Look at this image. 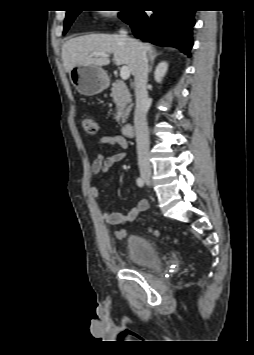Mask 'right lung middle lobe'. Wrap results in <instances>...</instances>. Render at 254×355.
<instances>
[{
	"instance_id": "1",
	"label": "right lung middle lobe",
	"mask_w": 254,
	"mask_h": 355,
	"mask_svg": "<svg viewBox=\"0 0 254 355\" xmlns=\"http://www.w3.org/2000/svg\"><path fill=\"white\" fill-rule=\"evenodd\" d=\"M130 12V10H124L121 13H119V17L122 19L124 18L128 13ZM80 13V11H68L66 14V18H65V23H64V33H66V31L69 29L70 25L72 24V22L74 21L75 17Z\"/></svg>"
}]
</instances>
